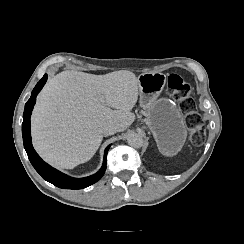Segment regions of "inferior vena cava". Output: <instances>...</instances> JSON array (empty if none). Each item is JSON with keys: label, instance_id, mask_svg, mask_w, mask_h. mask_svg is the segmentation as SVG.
Here are the masks:
<instances>
[{"label": "inferior vena cava", "instance_id": "obj_1", "mask_svg": "<svg viewBox=\"0 0 244 244\" xmlns=\"http://www.w3.org/2000/svg\"><path fill=\"white\" fill-rule=\"evenodd\" d=\"M104 135H112L117 132V126L111 123H107L102 128Z\"/></svg>", "mask_w": 244, "mask_h": 244}]
</instances>
